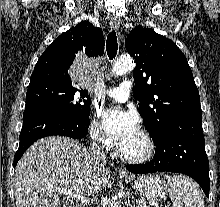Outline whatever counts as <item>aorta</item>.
Segmentation results:
<instances>
[{"instance_id":"762f6f07","label":"aorta","mask_w":220,"mask_h":207,"mask_svg":"<svg viewBox=\"0 0 220 207\" xmlns=\"http://www.w3.org/2000/svg\"><path fill=\"white\" fill-rule=\"evenodd\" d=\"M135 68V62L130 57L117 59L112 66V73L116 76H122Z\"/></svg>"}]
</instances>
